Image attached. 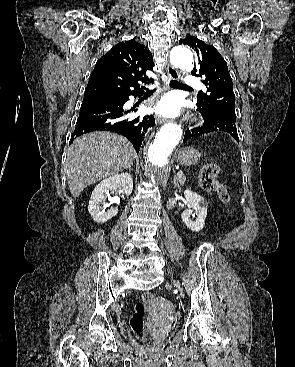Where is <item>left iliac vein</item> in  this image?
Instances as JSON below:
<instances>
[{
  "mask_svg": "<svg viewBox=\"0 0 295 367\" xmlns=\"http://www.w3.org/2000/svg\"><path fill=\"white\" fill-rule=\"evenodd\" d=\"M173 282H174L175 286L180 290L179 284L177 282H175V281H173Z\"/></svg>",
  "mask_w": 295,
  "mask_h": 367,
  "instance_id": "4c4485c4",
  "label": "left iliac vein"
}]
</instances>
